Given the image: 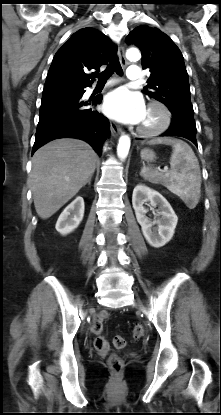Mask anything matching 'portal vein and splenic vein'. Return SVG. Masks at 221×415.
Here are the masks:
<instances>
[{"instance_id": "18ae733b", "label": "portal vein and splenic vein", "mask_w": 221, "mask_h": 415, "mask_svg": "<svg viewBox=\"0 0 221 415\" xmlns=\"http://www.w3.org/2000/svg\"><path fill=\"white\" fill-rule=\"evenodd\" d=\"M168 171V168L167 167H165L164 168V170H163V172H167Z\"/></svg>"}]
</instances>
